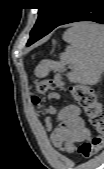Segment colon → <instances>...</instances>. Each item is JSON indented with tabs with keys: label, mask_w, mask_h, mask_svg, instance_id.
<instances>
[{
	"label": "colon",
	"mask_w": 104,
	"mask_h": 169,
	"mask_svg": "<svg viewBox=\"0 0 104 169\" xmlns=\"http://www.w3.org/2000/svg\"><path fill=\"white\" fill-rule=\"evenodd\" d=\"M64 89V83L61 79H40L34 84V94L32 95V102L39 103L38 95L46 94L49 91ZM70 91L77 104L82 107L89 118L90 124L98 132L90 142L84 143L79 148V154L83 158H90L103 147L104 135V113L102 106L97 99L93 90L85 85H72ZM58 94L54 93L51 98L58 99Z\"/></svg>",
	"instance_id": "5ec220e1"
}]
</instances>
